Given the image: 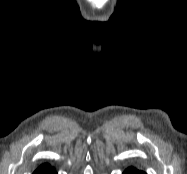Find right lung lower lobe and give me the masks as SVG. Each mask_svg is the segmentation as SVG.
Wrapping results in <instances>:
<instances>
[{"instance_id": "98d812e1", "label": "right lung lower lobe", "mask_w": 187, "mask_h": 174, "mask_svg": "<svg viewBox=\"0 0 187 174\" xmlns=\"http://www.w3.org/2000/svg\"><path fill=\"white\" fill-rule=\"evenodd\" d=\"M43 174H56V172H55V170H54V172H45V173H43Z\"/></svg>"}]
</instances>
